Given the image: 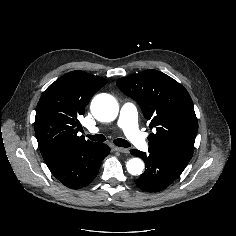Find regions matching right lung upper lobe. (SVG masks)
Segmentation results:
<instances>
[{
  "instance_id": "obj_1",
  "label": "right lung upper lobe",
  "mask_w": 236,
  "mask_h": 236,
  "mask_svg": "<svg viewBox=\"0 0 236 236\" xmlns=\"http://www.w3.org/2000/svg\"><path fill=\"white\" fill-rule=\"evenodd\" d=\"M107 80L83 71H72L52 83L42 94L35 117V134L45 162L75 145L92 143L78 136L85 106Z\"/></svg>"
}]
</instances>
